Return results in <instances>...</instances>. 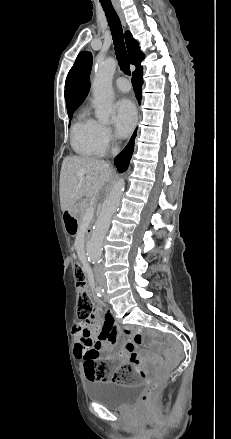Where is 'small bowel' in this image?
<instances>
[{
  "label": "small bowel",
  "mask_w": 231,
  "mask_h": 439,
  "mask_svg": "<svg viewBox=\"0 0 231 439\" xmlns=\"http://www.w3.org/2000/svg\"><path fill=\"white\" fill-rule=\"evenodd\" d=\"M88 293L93 296L92 283L87 286ZM100 312L94 311L89 321H78L73 328V335L76 340L74 354L78 359H85L88 353H93L97 357L102 356L106 359H117L120 365L133 364L142 369L145 374V365L149 356L139 352L138 346L142 343L140 334L133 333L132 330L124 331L115 327L108 310L105 321L98 324ZM92 331L95 334L92 335ZM130 338V341L117 345L120 339Z\"/></svg>",
  "instance_id": "small-bowel-1"
}]
</instances>
